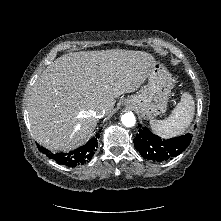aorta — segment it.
Returning a JSON list of instances; mask_svg holds the SVG:
<instances>
[{
	"mask_svg": "<svg viewBox=\"0 0 221 221\" xmlns=\"http://www.w3.org/2000/svg\"><path fill=\"white\" fill-rule=\"evenodd\" d=\"M121 122L126 127H133L136 123V119L132 112H127L121 116Z\"/></svg>",
	"mask_w": 221,
	"mask_h": 221,
	"instance_id": "762f6f07",
	"label": "aorta"
}]
</instances>
